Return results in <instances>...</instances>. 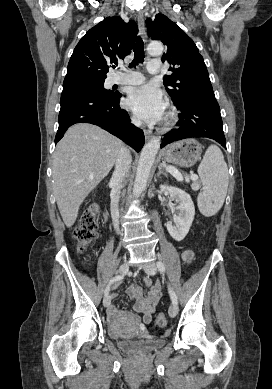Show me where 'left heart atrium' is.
<instances>
[{
  "label": "left heart atrium",
  "instance_id": "left-heart-atrium-1",
  "mask_svg": "<svg viewBox=\"0 0 272 389\" xmlns=\"http://www.w3.org/2000/svg\"><path fill=\"white\" fill-rule=\"evenodd\" d=\"M126 106L139 119L154 123L162 119L166 109V100L157 87L144 85L133 88L129 92Z\"/></svg>",
  "mask_w": 272,
  "mask_h": 389
}]
</instances>
